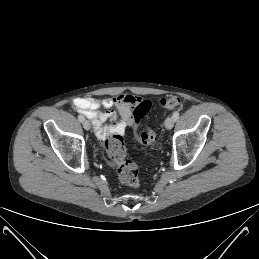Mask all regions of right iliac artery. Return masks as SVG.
<instances>
[{
    "label": "right iliac artery",
    "mask_w": 259,
    "mask_h": 259,
    "mask_svg": "<svg viewBox=\"0 0 259 259\" xmlns=\"http://www.w3.org/2000/svg\"><path fill=\"white\" fill-rule=\"evenodd\" d=\"M84 116L83 115H78V120L80 121V122H83L84 121Z\"/></svg>",
    "instance_id": "obj_1"
}]
</instances>
